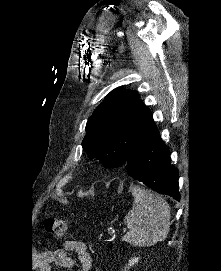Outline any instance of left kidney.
Wrapping results in <instances>:
<instances>
[{"label":"left kidney","instance_id":"left-kidney-1","mask_svg":"<svg viewBox=\"0 0 221 271\" xmlns=\"http://www.w3.org/2000/svg\"><path fill=\"white\" fill-rule=\"evenodd\" d=\"M139 261V257H131V259H129L126 267L127 269H129V267H131V265H135V263H138ZM127 269H124V271H127Z\"/></svg>","mask_w":221,"mask_h":271}]
</instances>
